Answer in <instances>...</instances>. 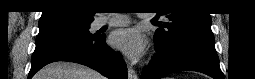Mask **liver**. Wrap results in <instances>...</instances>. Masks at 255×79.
Listing matches in <instances>:
<instances>
[{
    "instance_id": "6515ba94",
    "label": "liver",
    "mask_w": 255,
    "mask_h": 79,
    "mask_svg": "<svg viewBox=\"0 0 255 79\" xmlns=\"http://www.w3.org/2000/svg\"><path fill=\"white\" fill-rule=\"evenodd\" d=\"M34 79H104V77L87 66L58 61L42 68Z\"/></svg>"
}]
</instances>
